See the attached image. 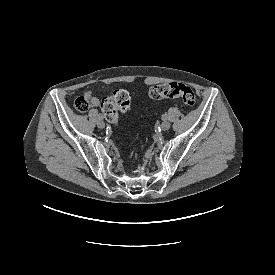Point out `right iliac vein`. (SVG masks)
I'll return each instance as SVG.
<instances>
[{"instance_id": "right-iliac-vein-1", "label": "right iliac vein", "mask_w": 275, "mask_h": 275, "mask_svg": "<svg viewBox=\"0 0 275 275\" xmlns=\"http://www.w3.org/2000/svg\"><path fill=\"white\" fill-rule=\"evenodd\" d=\"M97 126H98L99 128H101V129H103V128L105 127L104 121H103L102 119H99V120L97 121Z\"/></svg>"}]
</instances>
